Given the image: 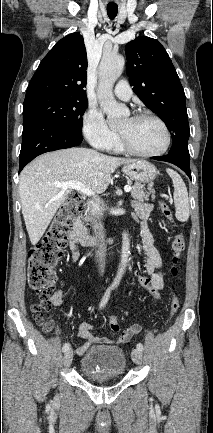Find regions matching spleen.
<instances>
[{
    "instance_id": "1",
    "label": "spleen",
    "mask_w": 213,
    "mask_h": 433,
    "mask_svg": "<svg viewBox=\"0 0 213 433\" xmlns=\"http://www.w3.org/2000/svg\"><path fill=\"white\" fill-rule=\"evenodd\" d=\"M167 173L171 177L174 186V203L176 210V218L181 222H185L189 218V198L186 185L182 180L181 176L172 169H166Z\"/></svg>"
}]
</instances>
